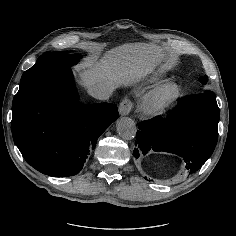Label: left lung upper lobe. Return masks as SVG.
<instances>
[{
  "mask_svg": "<svg viewBox=\"0 0 236 236\" xmlns=\"http://www.w3.org/2000/svg\"><path fill=\"white\" fill-rule=\"evenodd\" d=\"M207 79H208V77L207 76H204V77H200V82L201 83H203V84H205L206 82H207ZM204 93H206V94H210V95H215L213 92H211L210 90H207V91H205Z\"/></svg>",
  "mask_w": 236,
  "mask_h": 236,
  "instance_id": "left-lung-upper-lobe-1",
  "label": "left lung upper lobe"
}]
</instances>
